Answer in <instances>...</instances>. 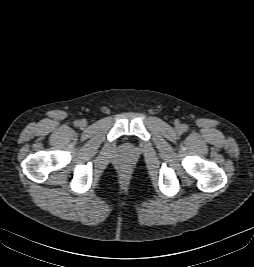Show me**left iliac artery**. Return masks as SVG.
Returning <instances> with one entry per match:
<instances>
[{
	"label": "left iliac artery",
	"instance_id": "obj_1",
	"mask_svg": "<svg viewBox=\"0 0 254 267\" xmlns=\"http://www.w3.org/2000/svg\"><path fill=\"white\" fill-rule=\"evenodd\" d=\"M182 128H183V130H186L187 127L186 126H183Z\"/></svg>",
	"mask_w": 254,
	"mask_h": 267
}]
</instances>
